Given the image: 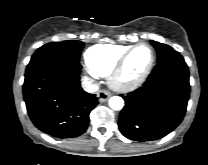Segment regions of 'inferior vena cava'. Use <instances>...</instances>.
<instances>
[{"instance_id": "602c4592", "label": "inferior vena cava", "mask_w": 208, "mask_h": 165, "mask_svg": "<svg viewBox=\"0 0 208 165\" xmlns=\"http://www.w3.org/2000/svg\"><path fill=\"white\" fill-rule=\"evenodd\" d=\"M82 87L84 88L85 91L89 93L96 92L99 88L97 84H93L92 81L89 80L88 78L83 79Z\"/></svg>"}]
</instances>
